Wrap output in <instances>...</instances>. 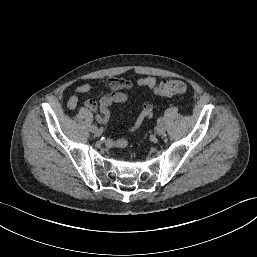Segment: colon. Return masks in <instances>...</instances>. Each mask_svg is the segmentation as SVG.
Listing matches in <instances>:
<instances>
[{
    "label": "colon",
    "instance_id": "colon-1",
    "mask_svg": "<svg viewBox=\"0 0 257 257\" xmlns=\"http://www.w3.org/2000/svg\"><path fill=\"white\" fill-rule=\"evenodd\" d=\"M187 91L186 84L181 80H166L155 87V92L161 97L182 95Z\"/></svg>",
    "mask_w": 257,
    "mask_h": 257
}]
</instances>
